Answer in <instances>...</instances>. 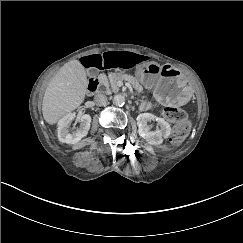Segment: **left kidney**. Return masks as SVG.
I'll list each match as a JSON object with an SVG mask.
<instances>
[{"label":"left kidney","instance_id":"1","mask_svg":"<svg viewBox=\"0 0 243 243\" xmlns=\"http://www.w3.org/2000/svg\"><path fill=\"white\" fill-rule=\"evenodd\" d=\"M154 117L149 113H142L137 116L138 133L141 138L151 145H160L164 139H167L171 133L170 124L163 118H156L160 129L156 131H149L147 122Z\"/></svg>","mask_w":243,"mask_h":243}]
</instances>
